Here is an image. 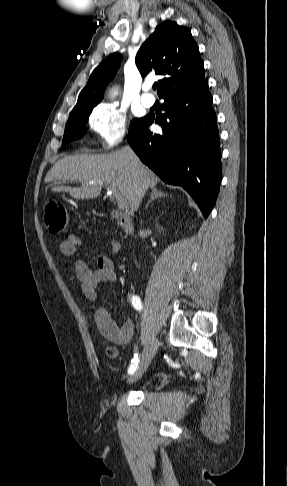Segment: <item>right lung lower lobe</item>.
Here are the masks:
<instances>
[{
    "label": "right lung lower lobe",
    "instance_id": "1",
    "mask_svg": "<svg viewBox=\"0 0 287 486\" xmlns=\"http://www.w3.org/2000/svg\"><path fill=\"white\" fill-rule=\"evenodd\" d=\"M165 113L141 118L129 132L130 146L164 182L182 186L205 218L213 209L221 183V152L208 80L185 85L160 96ZM159 124L163 133L148 127Z\"/></svg>",
    "mask_w": 287,
    "mask_h": 486
}]
</instances>
